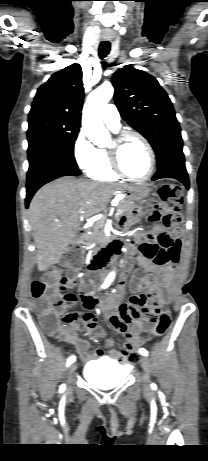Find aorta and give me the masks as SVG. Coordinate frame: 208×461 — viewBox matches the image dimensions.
<instances>
[{"instance_id":"1","label":"aorta","mask_w":208,"mask_h":461,"mask_svg":"<svg viewBox=\"0 0 208 461\" xmlns=\"http://www.w3.org/2000/svg\"><path fill=\"white\" fill-rule=\"evenodd\" d=\"M114 88L111 84H103L95 89L88 97L82 116L84 132L92 142L100 147L108 146L110 136L102 122V110L113 97ZM115 272H111L107 279L112 281Z\"/></svg>"}]
</instances>
